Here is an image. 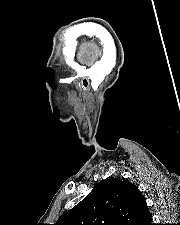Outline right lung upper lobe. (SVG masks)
Instances as JSON below:
<instances>
[{"label": "right lung upper lobe", "instance_id": "cb5924a9", "mask_svg": "<svg viewBox=\"0 0 180 225\" xmlns=\"http://www.w3.org/2000/svg\"><path fill=\"white\" fill-rule=\"evenodd\" d=\"M146 201L131 182L109 178L98 183L55 225H151Z\"/></svg>", "mask_w": 180, "mask_h": 225}]
</instances>
